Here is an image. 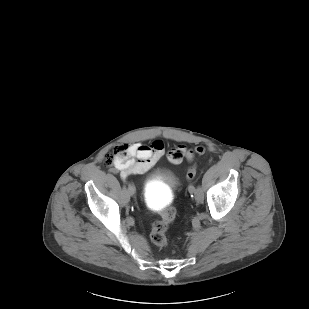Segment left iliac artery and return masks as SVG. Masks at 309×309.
Segmentation results:
<instances>
[{"instance_id": "44dca946", "label": "left iliac artery", "mask_w": 309, "mask_h": 309, "mask_svg": "<svg viewBox=\"0 0 309 309\" xmlns=\"http://www.w3.org/2000/svg\"><path fill=\"white\" fill-rule=\"evenodd\" d=\"M190 188H191V186H189V192H190V193H194L195 190H196V189L194 188V186H193V188H192L191 190H190ZM198 189H201V187L198 186L197 190H198Z\"/></svg>"}]
</instances>
